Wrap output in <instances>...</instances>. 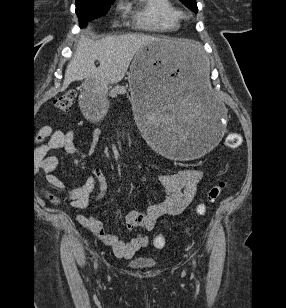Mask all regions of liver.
<instances>
[{
    "mask_svg": "<svg viewBox=\"0 0 286 308\" xmlns=\"http://www.w3.org/2000/svg\"><path fill=\"white\" fill-rule=\"evenodd\" d=\"M87 33V31H85ZM160 38L144 34H125L91 40L81 35L73 58L67 65L62 90L73 81L93 79L100 85L120 82L135 56L144 46ZM170 52L181 61L199 55L201 47L188 39H166ZM99 61V67L95 61Z\"/></svg>",
    "mask_w": 286,
    "mask_h": 308,
    "instance_id": "liver-1",
    "label": "liver"
}]
</instances>
